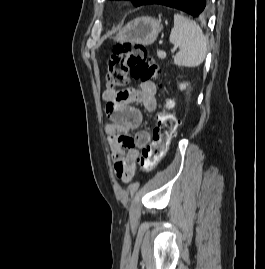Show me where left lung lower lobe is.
<instances>
[{
  "label": "left lung lower lobe",
  "mask_w": 265,
  "mask_h": 269,
  "mask_svg": "<svg viewBox=\"0 0 265 269\" xmlns=\"http://www.w3.org/2000/svg\"><path fill=\"white\" fill-rule=\"evenodd\" d=\"M159 4L184 11L195 18L208 14L207 0H145L142 5Z\"/></svg>",
  "instance_id": "obj_1"
}]
</instances>
